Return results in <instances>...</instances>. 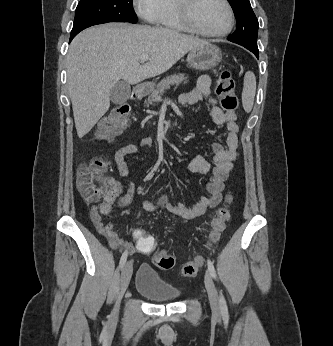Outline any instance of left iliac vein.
<instances>
[{"mask_svg":"<svg viewBox=\"0 0 333 346\" xmlns=\"http://www.w3.org/2000/svg\"><path fill=\"white\" fill-rule=\"evenodd\" d=\"M204 281L211 309L216 315H220V302L218 293L209 272H206Z\"/></svg>","mask_w":333,"mask_h":346,"instance_id":"1","label":"left iliac vein"}]
</instances>
